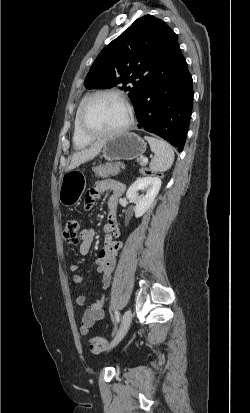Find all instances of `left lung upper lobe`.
I'll use <instances>...</instances> for the list:
<instances>
[{
  "instance_id": "obj_1",
  "label": "left lung upper lobe",
  "mask_w": 250,
  "mask_h": 413,
  "mask_svg": "<svg viewBox=\"0 0 250 413\" xmlns=\"http://www.w3.org/2000/svg\"><path fill=\"white\" fill-rule=\"evenodd\" d=\"M177 35L162 20L145 15L135 20L118 38L97 56L85 79L87 88H111L123 84L122 90L134 104L141 87L163 68L166 53ZM131 82L133 85L129 86Z\"/></svg>"
}]
</instances>
